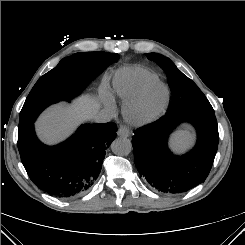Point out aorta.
<instances>
[{
	"instance_id": "1",
	"label": "aorta",
	"mask_w": 245,
	"mask_h": 245,
	"mask_svg": "<svg viewBox=\"0 0 245 245\" xmlns=\"http://www.w3.org/2000/svg\"><path fill=\"white\" fill-rule=\"evenodd\" d=\"M111 150L119 156H127L132 151V143L127 138H117L111 144Z\"/></svg>"
}]
</instances>
